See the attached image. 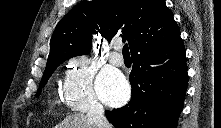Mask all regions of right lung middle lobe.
Here are the masks:
<instances>
[{
  "label": "right lung middle lobe",
  "mask_w": 221,
  "mask_h": 128,
  "mask_svg": "<svg viewBox=\"0 0 221 128\" xmlns=\"http://www.w3.org/2000/svg\"><path fill=\"white\" fill-rule=\"evenodd\" d=\"M67 59H69V58H65L63 60L50 63L46 66L45 72H44L42 80H41L40 88L44 87L47 80L50 78V76L55 71V69ZM40 92H41V89L38 90V93L36 94V96H39Z\"/></svg>",
  "instance_id": "dd1d6c3e"
}]
</instances>
